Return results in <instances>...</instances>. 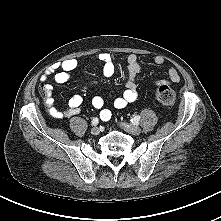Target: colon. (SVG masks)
Instances as JSON below:
<instances>
[{"mask_svg":"<svg viewBox=\"0 0 221 221\" xmlns=\"http://www.w3.org/2000/svg\"><path fill=\"white\" fill-rule=\"evenodd\" d=\"M156 98L157 100L165 106L171 107L174 105L176 100L175 92L172 88H170L168 85H160L156 89ZM43 95L45 97L49 96V92L43 88Z\"/></svg>","mask_w":221,"mask_h":221,"instance_id":"1","label":"colon"}]
</instances>
